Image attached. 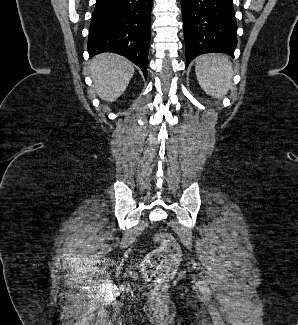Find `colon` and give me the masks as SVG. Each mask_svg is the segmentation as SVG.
<instances>
[{
    "label": "colon",
    "instance_id": "colon-1",
    "mask_svg": "<svg viewBox=\"0 0 298 325\" xmlns=\"http://www.w3.org/2000/svg\"><path fill=\"white\" fill-rule=\"evenodd\" d=\"M158 248L146 256L142 263L144 279L153 283H166L173 279L179 262L180 248L169 234H160L156 238Z\"/></svg>",
    "mask_w": 298,
    "mask_h": 325
}]
</instances>
